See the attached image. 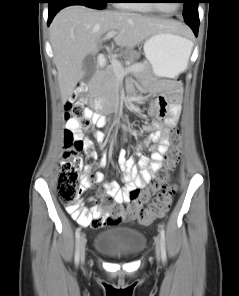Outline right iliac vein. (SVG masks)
<instances>
[{"label":"right iliac vein","instance_id":"obj_1","mask_svg":"<svg viewBox=\"0 0 239 296\" xmlns=\"http://www.w3.org/2000/svg\"><path fill=\"white\" fill-rule=\"evenodd\" d=\"M85 246H86V239L84 236H82L79 244L80 260L82 263L85 260Z\"/></svg>","mask_w":239,"mask_h":296}]
</instances>
